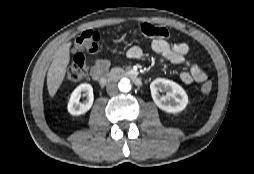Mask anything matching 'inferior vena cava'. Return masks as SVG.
I'll use <instances>...</instances> for the list:
<instances>
[{"label": "inferior vena cava", "instance_id": "602c4592", "mask_svg": "<svg viewBox=\"0 0 254 174\" xmlns=\"http://www.w3.org/2000/svg\"><path fill=\"white\" fill-rule=\"evenodd\" d=\"M107 93L109 95H115L118 93L117 84L115 82H111L106 87Z\"/></svg>", "mask_w": 254, "mask_h": 174}]
</instances>
